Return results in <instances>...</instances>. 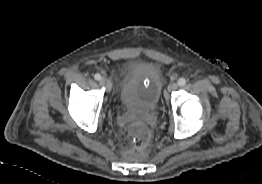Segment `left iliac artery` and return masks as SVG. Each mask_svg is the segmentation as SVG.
I'll use <instances>...</instances> for the list:
<instances>
[{"instance_id":"obj_1","label":"left iliac artery","mask_w":262,"mask_h":184,"mask_svg":"<svg viewBox=\"0 0 262 184\" xmlns=\"http://www.w3.org/2000/svg\"><path fill=\"white\" fill-rule=\"evenodd\" d=\"M186 79H184V78H180L179 80H178V85L179 86H184V85H186Z\"/></svg>"}]
</instances>
